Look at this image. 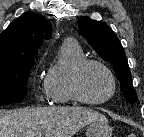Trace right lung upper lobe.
<instances>
[{
    "label": "right lung upper lobe",
    "instance_id": "1",
    "mask_svg": "<svg viewBox=\"0 0 144 137\" xmlns=\"http://www.w3.org/2000/svg\"><path fill=\"white\" fill-rule=\"evenodd\" d=\"M51 35L45 17L32 11L22 14L0 34V64L35 59L43 39Z\"/></svg>",
    "mask_w": 144,
    "mask_h": 137
}]
</instances>
